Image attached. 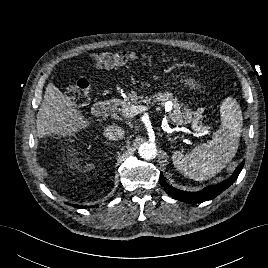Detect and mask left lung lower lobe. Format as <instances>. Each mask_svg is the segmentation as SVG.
Returning a JSON list of instances; mask_svg holds the SVG:
<instances>
[{"label": "left lung lower lobe", "instance_id": "1", "mask_svg": "<svg viewBox=\"0 0 268 268\" xmlns=\"http://www.w3.org/2000/svg\"><path fill=\"white\" fill-rule=\"evenodd\" d=\"M244 162L245 161H243L241 164L238 165L234 173L227 180L215 186H208L204 188L203 191L186 192V191L175 189L172 186L167 184V182L164 180L162 173H160V183L162 186L166 188L167 194L177 200H180L186 203H201L207 200L214 199L221 192L227 189L231 184H233V182L237 179L239 173L241 172L244 166Z\"/></svg>", "mask_w": 268, "mask_h": 268}]
</instances>
